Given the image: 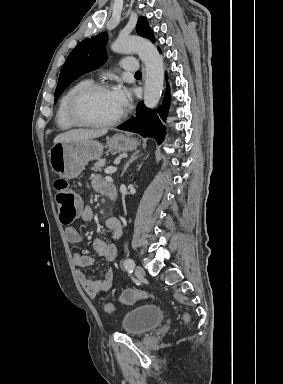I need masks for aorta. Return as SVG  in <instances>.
Returning a JSON list of instances; mask_svg holds the SVG:
<instances>
[{"mask_svg":"<svg viewBox=\"0 0 283 384\" xmlns=\"http://www.w3.org/2000/svg\"><path fill=\"white\" fill-rule=\"evenodd\" d=\"M117 53H137L146 67L144 104L154 108L158 104L164 84L163 59L157 48L147 39L130 36L117 39L111 46Z\"/></svg>","mask_w":283,"mask_h":384,"instance_id":"obj_1","label":"aorta"}]
</instances>
